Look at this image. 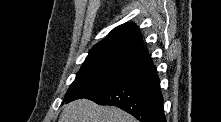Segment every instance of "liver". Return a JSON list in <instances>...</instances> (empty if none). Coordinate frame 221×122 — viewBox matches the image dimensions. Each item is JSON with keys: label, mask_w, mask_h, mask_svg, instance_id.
Instances as JSON below:
<instances>
[{"label": "liver", "mask_w": 221, "mask_h": 122, "mask_svg": "<svg viewBox=\"0 0 221 122\" xmlns=\"http://www.w3.org/2000/svg\"><path fill=\"white\" fill-rule=\"evenodd\" d=\"M59 122H137L127 112L114 106H100L88 99H79L65 106Z\"/></svg>", "instance_id": "liver-1"}]
</instances>
